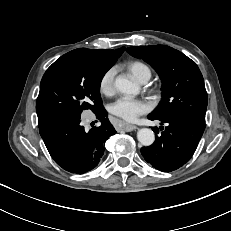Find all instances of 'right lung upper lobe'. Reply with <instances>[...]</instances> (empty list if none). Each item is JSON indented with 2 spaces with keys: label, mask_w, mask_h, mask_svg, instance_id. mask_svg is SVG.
Listing matches in <instances>:
<instances>
[{
  "label": "right lung upper lobe",
  "mask_w": 231,
  "mask_h": 231,
  "mask_svg": "<svg viewBox=\"0 0 231 231\" xmlns=\"http://www.w3.org/2000/svg\"><path fill=\"white\" fill-rule=\"evenodd\" d=\"M79 49L87 51L88 53L92 54L96 59L112 65L117 61V58H119L125 50L124 47L117 50H109V49L92 50L86 48H79ZM43 125L44 123H39V126H43Z\"/></svg>",
  "instance_id": "obj_1"
}]
</instances>
